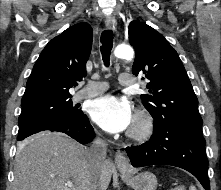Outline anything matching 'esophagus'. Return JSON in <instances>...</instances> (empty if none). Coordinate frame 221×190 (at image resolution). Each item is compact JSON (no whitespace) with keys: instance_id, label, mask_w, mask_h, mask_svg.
I'll list each match as a JSON object with an SVG mask.
<instances>
[{"instance_id":"34e87169","label":"esophagus","mask_w":221,"mask_h":190,"mask_svg":"<svg viewBox=\"0 0 221 190\" xmlns=\"http://www.w3.org/2000/svg\"><path fill=\"white\" fill-rule=\"evenodd\" d=\"M106 27L113 31H116V20L113 17H107L105 20ZM115 164L121 171H128L130 169V163L128 158L120 151L115 153Z\"/></svg>"}]
</instances>
